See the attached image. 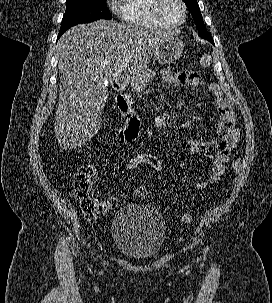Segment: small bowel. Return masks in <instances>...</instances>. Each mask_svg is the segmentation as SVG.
Segmentation results:
<instances>
[{
    "label": "small bowel",
    "instance_id": "small-bowel-1",
    "mask_svg": "<svg viewBox=\"0 0 272 303\" xmlns=\"http://www.w3.org/2000/svg\"><path fill=\"white\" fill-rule=\"evenodd\" d=\"M166 83L185 85L190 87L199 86L201 79L199 74L190 71H178L166 69L162 73ZM209 93L216 98V110L218 115L217 135L215 139H193L183 143V148L189 153L202 154L212 161V167L207 179H200L195 183L197 190H205L209 185L217 183L225 171V165L229 160L232 149L239 139V129L236 126L235 116L230 101L223 95L218 84L212 83L208 87ZM137 135V134H136ZM135 136L124 142H131ZM215 153H211V150Z\"/></svg>",
    "mask_w": 272,
    "mask_h": 303
}]
</instances>
